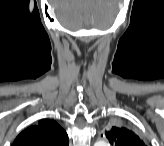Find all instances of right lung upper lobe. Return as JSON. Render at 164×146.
I'll return each mask as SVG.
<instances>
[{
    "label": "right lung upper lobe",
    "mask_w": 164,
    "mask_h": 146,
    "mask_svg": "<svg viewBox=\"0 0 164 146\" xmlns=\"http://www.w3.org/2000/svg\"><path fill=\"white\" fill-rule=\"evenodd\" d=\"M13 146H68V135L55 121L43 119L21 132Z\"/></svg>",
    "instance_id": "right-lung-upper-lobe-1"
}]
</instances>
